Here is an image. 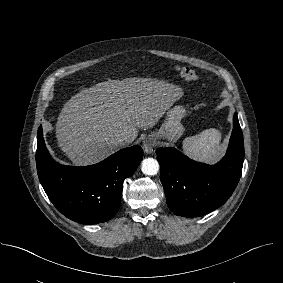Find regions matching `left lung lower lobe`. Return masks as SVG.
<instances>
[{"label": "left lung lower lobe", "mask_w": 283, "mask_h": 283, "mask_svg": "<svg viewBox=\"0 0 283 283\" xmlns=\"http://www.w3.org/2000/svg\"><path fill=\"white\" fill-rule=\"evenodd\" d=\"M160 179L170 210L179 216L198 217L208 214L232 195L244 160V143L237 114L223 159L207 165L189 159L175 148H158Z\"/></svg>", "instance_id": "1"}]
</instances>
